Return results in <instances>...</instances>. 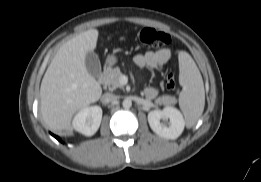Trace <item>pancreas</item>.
Segmentation results:
<instances>
[{"instance_id":"obj_1","label":"pancreas","mask_w":261,"mask_h":182,"mask_svg":"<svg viewBox=\"0 0 261 182\" xmlns=\"http://www.w3.org/2000/svg\"><path fill=\"white\" fill-rule=\"evenodd\" d=\"M121 76H122V73L118 67L107 72L105 74V78H106V84L108 85V87L112 90H115L116 88H123V85L120 83ZM165 99H169V97L160 98L157 100V102L161 103Z\"/></svg>"}]
</instances>
